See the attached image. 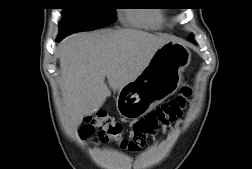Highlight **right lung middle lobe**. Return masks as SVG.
I'll return each instance as SVG.
<instances>
[{"mask_svg":"<svg viewBox=\"0 0 252 169\" xmlns=\"http://www.w3.org/2000/svg\"><path fill=\"white\" fill-rule=\"evenodd\" d=\"M112 0H64L60 35L105 27L115 20Z\"/></svg>","mask_w":252,"mask_h":169,"instance_id":"obj_1","label":"right lung middle lobe"}]
</instances>
